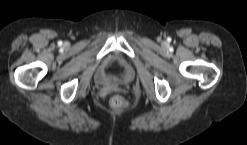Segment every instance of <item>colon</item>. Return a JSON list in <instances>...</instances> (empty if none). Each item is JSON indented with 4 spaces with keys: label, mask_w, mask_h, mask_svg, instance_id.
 I'll return each instance as SVG.
<instances>
[{
    "label": "colon",
    "mask_w": 247,
    "mask_h": 145,
    "mask_svg": "<svg viewBox=\"0 0 247 145\" xmlns=\"http://www.w3.org/2000/svg\"><path fill=\"white\" fill-rule=\"evenodd\" d=\"M111 106L114 108H121L124 106V100L120 96H114L110 100Z\"/></svg>",
    "instance_id": "1"
}]
</instances>
